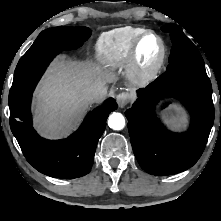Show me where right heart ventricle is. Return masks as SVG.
<instances>
[{
    "label": "right heart ventricle",
    "instance_id": "e07e8e85",
    "mask_svg": "<svg viewBox=\"0 0 221 221\" xmlns=\"http://www.w3.org/2000/svg\"><path fill=\"white\" fill-rule=\"evenodd\" d=\"M146 30L142 27L127 26L105 32L96 44L99 59L110 68L127 65L134 42Z\"/></svg>",
    "mask_w": 221,
    "mask_h": 221
}]
</instances>
